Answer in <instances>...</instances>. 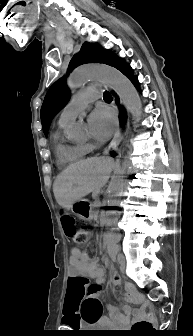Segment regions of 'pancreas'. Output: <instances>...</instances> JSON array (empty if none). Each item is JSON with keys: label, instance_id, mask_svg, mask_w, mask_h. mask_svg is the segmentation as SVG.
<instances>
[{"label": "pancreas", "instance_id": "pancreas-1", "mask_svg": "<svg viewBox=\"0 0 193 336\" xmlns=\"http://www.w3.org/2000/svg\"><path fill=\"white\" fill-rule=\"evenodd\" d=\"M93 207V212L95 213V219L96 220H99L101 218V210L103 209V206L101 205V202H98V203H94L92 205Z\"/></svg>", "mask_w": 193, "mask_h": 336}]
</instances>
